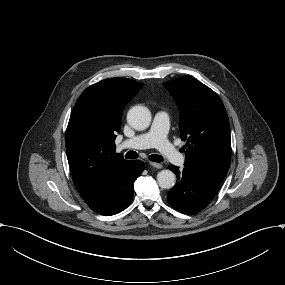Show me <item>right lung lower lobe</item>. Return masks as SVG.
Returning a JSON list of instances; mask_svg holds the SVG:
<instances>
[{"instance_id": "1", "label": "right lung lower lobe", "mask_w": 285, "mask_h": 285, "mask_svg": "<svg viewBox=\"0 0 285 285\" xmlns=\"http://www.w3.org/2000/svg\"><path fill=\"white\" fill-rule=\"evenodd\" d=\"M143 169L142 161H128L118 171L107 189L88 206L95 212L106 216L123 211L132 201L134 181Z\"/></svg>"}]
</instances>
